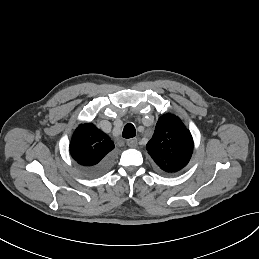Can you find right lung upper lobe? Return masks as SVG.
<instances>
[{
  "label": "right lung upper lobe",
  "mask_w": 259,
  "mask_h": 259,
  "mask_svg": "<svg viewBox=\"0 0 259 259\" xmlns=\"http://www.w3.org/2000/svg\"><path fill=\"white\" fill-rule=\"evenodd\" d=\"M114 149L111 138L94 124H81L70 142L72 158L82 166H94Z\"/></svg>",
  "instance_id": "cb5924a9"
}]
</instances>
